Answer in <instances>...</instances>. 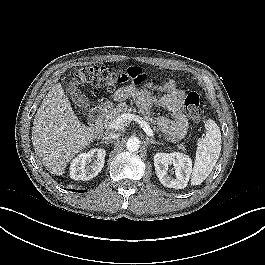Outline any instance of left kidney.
Instances as JSON below:
<instances>
[{"label":"left kidney","instance_id":"obj_1","mask_svg":"<svg viewBox=\"0 0 265 265\" xmlns=\"http://www.w3.org/2000/svg\"><path fill=\"white\" fill-rule=\"evenodd\" d=\"M169 165L174 167L175 178L168 175ZM154 166L159 181L168 188H185L192 173L191 158L179 152L156 153L154 156Z\"/></svg>","mask_w":265,"mask_h":265}]
</instances>
